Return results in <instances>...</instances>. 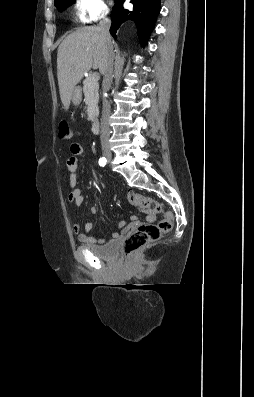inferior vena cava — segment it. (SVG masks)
Masks as SVG:
<instances>
[{
    "label": "inferior vena cava",
    "instance_id": "obj_1",
    "mask_svg": "<svg viewBox=\"0 0 254 397\" xmlns=\"http://www.w3.org/2000/svg\"><path fill=\"white\" fill-rule=\"evenodd\" d=\"M110 25L111 21L106 15L103 16V19L99 23V29L101 32L102 39L107 48L106 55V66L103 72V92L109 91L112 80H113V61H114V51L112 46V41L110 37ZM109 116H110V104L106 99H103V110H102V118H101V146L103 150L109 148V138H110V128H109Z\"/></svg>",
    "mask_w": 254,
    "mask_h": 397
}]
</instances>
